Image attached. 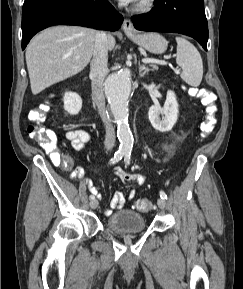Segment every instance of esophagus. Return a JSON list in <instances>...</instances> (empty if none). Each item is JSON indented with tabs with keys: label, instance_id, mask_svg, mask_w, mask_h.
<instances>
[{
	"label": "esophagus",
	"instance_id": "34e87169",
	"mask_svg": "<svg viewBox=\"0 0 243 289\" xmlns=\"http://www.w3.org/2000/svg\"><path fill=\"white\" fill-rule=\"evenodd\" d=\"M122 29L126 34H131L135 32L134 26L129 19H124Z\"/></svg>",
	"mask_w": 243,
	"mask_h": 289
}]
</instances>
